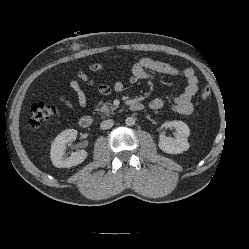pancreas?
Here are the masks:
<instances>
[{
  "label": "pancreas",
  "instance_id": "cf45deb5",
  "mask_svg": "<svg viewBox=\"0 0 249 249\" xmlns=\"http://www.w3.org/2000/svg\"><path fill=\"white\" fill-rule=\"evenodd\" d=\"M100 107L97 108V111L105 113L106 115H108L109 113L113 112L115 109H117V106L112 105L109 102L106 103H102L99 102L98 104Z\"/></svg>",
  "mask_w": 249,
  "mask_h": 249
}]
</instances>
